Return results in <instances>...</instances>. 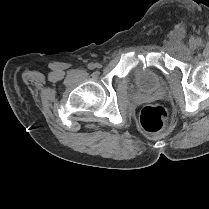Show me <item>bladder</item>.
Masks as SVG:
<instances>
[{"label": "bladder", "instance_id": "31cf9c89", "mask_svg": "<svg viewBox=\"0 0 209 209\" xmlns=\"http://www.w3.org/2000/svg\"><path fill=\"white\" fill-rule=\"evenodd\" d=\"M136 84L140 91L153 94L160 86V76L152 69H141L136 74Z\"/></svg>", "mask_w": 209, "mask_h": 209}]
</instances>
